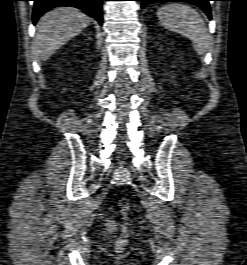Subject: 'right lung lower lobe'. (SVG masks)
<instances>
[{
    "label": "right lung lower lobe",
    "instance_id": "right-lung-lower-lobe-1",
    "mask_svg": "<svg viewBox=\"0 0 247 265\" xmlns=\"http://www.w3.org/2000/svg\"><path fill=\"white\" fill-rule=\"evenodd\" d=\"M33 23L48 10L58 6H72L86 12L90 17L97 20L102 25V1L104 0H33Z\"/></svg>",
    "mask_w": 247,
    "mask_h": 265
}]
</instances>
